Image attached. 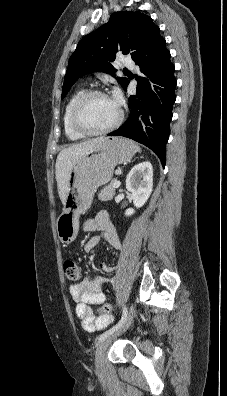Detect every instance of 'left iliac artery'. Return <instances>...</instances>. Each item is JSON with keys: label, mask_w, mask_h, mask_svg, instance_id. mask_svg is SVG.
I'll return each instance as SVG.
<instances>
[{"label": "left iliac artery", "mask_w": 227, "mask_h": 396, "mask_svg": "<svg viewBox=\"0 0 227 396\" xmlns=\"http://www.w3.org/2000/svg\"><path fill=\"white\" fill-rule=\"evenodd\" d=\"M127 315H128V310H127V307L124 306V307H123V314H122V317H121L120 321H119L115 326H113L112 328H110L109 330H107L106 332H104L103 334H101V335L98 337V343H99L100 341H102L104 338H106L107 336L113 334V333H114L115 331H117L119 328H121L122 325L125 323V321H126V319H127Z\"/></svg>", "instance_id": "44dca946"}]
</instances>
